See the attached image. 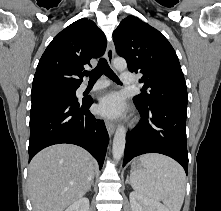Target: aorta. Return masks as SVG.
<instances>
[{
    "label": "aorta",
    "mask_w": 221,
    "mask_h": 211,
    "mask_svg": "<svg viewBox=\"0 0 221 211\" xmlns=\"http://www.w3.org/2000/svg\"><path fill=\"white\" fill-rule=\"evenodd\" d=\"M114 67L118 71H124L127 68V63L123 58L114 60ZM126 143V130L123 125H119L114 135L112 154L114 160L118 161L122 158Z\"/></svg>",
    "instance_id": "obj_1"
}]
</instances>
